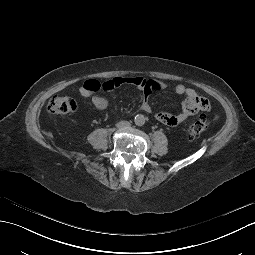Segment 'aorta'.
<instances>
[{
    "label": "aorta",
    "instance_id": "obj_1",
    "mask_svg": "<svg viewBox=\"0 0 255 255\" xmlns=\"http://www.w3.org/2000/svg\"><path fill=\"white\" fill-rule=\"evenodd\" d=\"M134 122L136 125L141 126L145 123V117L143 115H136L134 118Z\"/></svg>",
    "mask_w": 255,
    "mask_h": 255
}]
</instances>
